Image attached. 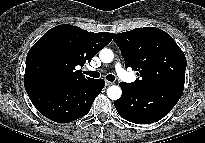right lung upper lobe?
<instances>
[{"mask_svg":"<svg viewBox=\"0 0 205 143\" xmlns=\"http://www.w3.org/2000/svg\"><path fill=\"white\" fill-rule=\"evenodd\" d=\"M108 32H88L69 24L48 30L29 50L24 82L59 81L80 83L85 77L76 66H83L112 40Z\"/></svg>","mask_w":205,"mask_h":143,"instance_id":"right-lung-upper-lobe-1","label":"right lung upper lobe"}]
</instances>
